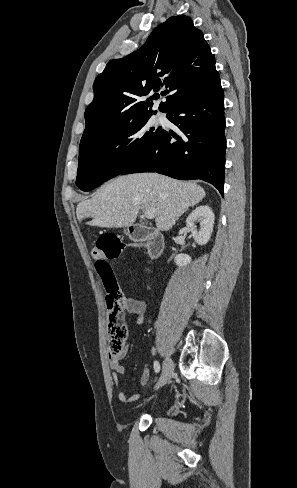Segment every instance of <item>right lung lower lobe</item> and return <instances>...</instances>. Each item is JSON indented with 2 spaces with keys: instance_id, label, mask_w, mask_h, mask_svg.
<instances>
[{
  "instance_id": "right-lung-lower-lobe-1",
  "label": "right lung lower lobe",
  "mask_w": 297,
  "mask_h": 488,
  "mask_svg": "<svg viewBox=\"0 0 297 488\" xmlns=\"http://www.w3.org/2000/svg\"><path fill=\"white\" fill-rule=\"evenodd\" d=\"M177 132L161 130L121 174L157 172L175 179H201L223 196L226 139L220 77L167 113Z\"/></svg>"
}]
</instances>
